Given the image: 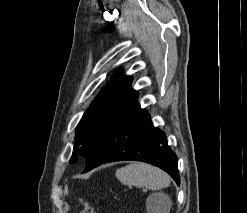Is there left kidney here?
<instances>
[{
	"label": "left kidney",
	"instance_id": "obj_1",
	"mask_svg": "<svg viewBox=\"0 0 247 213\" xmlns=\"http://www.w3.org/2000/svg\"><path fill=\"white\" fill-rule=\"evenodd\" d=\"M152 202L151 201H148V204H147V209H148V213H155L153 210H152Z\"/></svg>",
	"mask_w": 247,
	"mask_h": 213
}]
</instances>
